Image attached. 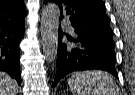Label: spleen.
I'll list each match as a JSON object with an SVG mask.
<instances>
[{"mask_svg":"<svg viewBox=\"0 0 135 95\" xmlns=\"http://www.w3.org/2000/svg\"><path fill=\"white\" fill-rule=\"evenodd\" d=\"M68 84L73 95H119L117 84L107 72H76Z\"/></svg>","mask_w":135,"mask_h":95,"instance_id":"1","label":"spleen"}]
</instances>
